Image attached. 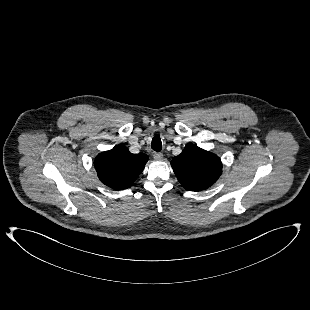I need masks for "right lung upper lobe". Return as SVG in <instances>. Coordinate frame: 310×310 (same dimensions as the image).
<instances>
[{"label":"right lung upper lobe","instance_id":"cb5924a9","mask_svg":"<svg viewBox=\"0 0 310 310\" xmlns=\"http://www.w3.org/2000/svg\"><path fill=\"white\" fill-rule=\"evenodd\" d=\"M147 161L146 154H132L124 145H117L100 153L94 165L103 184L115 190H123L134 183Z\"/></svg>","mask_w":310,"mask_h":310}]
</instances>
